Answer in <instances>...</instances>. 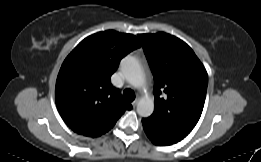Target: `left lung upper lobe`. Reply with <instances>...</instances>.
<instances>
[{
	"label": "left lung upper lobe",
	"instance_id": "obj_1",
	"mask_svg": "<svg viewBox=\"0 0 261 162\" xmlns=\"http://www.w3.org/2000/svg\"><path fill=\"white\" fill-rule=\"evenodd\" d=\"M138 37L154 76L155 107L147 119L185 137L202 114L206 69L193 50L173 35L159 32Z\"/></svg>",
	"mask_w": 261,
	"mask_h": 162
}]
</instances>
